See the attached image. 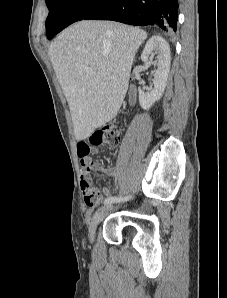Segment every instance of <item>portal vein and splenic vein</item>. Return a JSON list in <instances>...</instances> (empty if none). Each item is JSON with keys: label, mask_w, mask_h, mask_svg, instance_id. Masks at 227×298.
Here are the masks:
<instances>
[{"label": "portal vein and splenic vein", "mask_w": 227, "mask_h": 298, "mask_svg": "<svg viewBox=\"0 0 227 298\" xmlns=\"http://www.w3.org/2000/svg\"><path fill=\"white\" fill-rule=\"evenodd\" d=\"M90 73H94V71L93 70H90Z\"/></svg>", "instance_id": "18ae733b"}]
</instances>
